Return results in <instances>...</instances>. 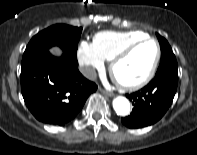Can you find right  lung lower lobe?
<instances>
[{
	"mask_svg": "<svg viewBox=\"0 0 197 155\" xmlns=\"http://www.w3.org/2000/svg\"><path fill=\"white\" fill-rule=\"evenodd\" d=\"M21 91L26 106L41 122L63 126L82 109L95 83L78 71L76 55L45 53L21 68Z\"/></svg>",
	"mask_w": 197,
	"mask_h": 155,
	"instance_id": "98d812e1",
	"label": "right lung lower lobe"
}]
</instances>
